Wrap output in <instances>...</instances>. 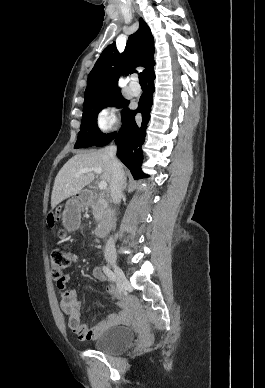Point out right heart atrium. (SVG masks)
I'll return each mask as SVG.
<instances>
[{
  "label": "right heart atrium",
  "instance_id": "right-heart-atrium-1",
  "mask_svg": "<svg viewBox=\"0 0 265 388\" xmlns=\"http://www.w3.org/2000/svg\"><path fill=\"white\" fill-rule=\"evenodd\" d=\"M111 119V112L110 111H104L101 114L100 121L103 125H106Z\"/></svg>",
  "mask_w": 265,
  "mask_h": 388
}]
</instances>
